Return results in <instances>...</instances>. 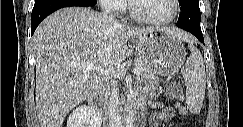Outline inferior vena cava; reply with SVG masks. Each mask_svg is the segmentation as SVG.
Segmentation results:
<instances>
[{
    "instance_id": "602c4592",
    "label": "inferior vena cava",
    "mask_w": 243,
    "mask_h": 127,
    "mask_svg": "<svg viewBox=\"0 0 243 127\" xmlns=\"http://www.w3.org/2000/svg\"><path fill=\"white\" fill-rule=\"evenodd\" d=\"M108 127H122L120 113L119 89L117 81H111V91L108 102Z\"/></svg>"
}]
</instances>
